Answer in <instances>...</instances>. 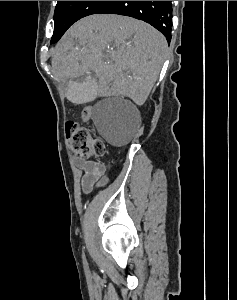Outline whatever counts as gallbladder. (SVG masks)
I'll return each mask as SVG.
<instances>
[{
	"label": "gallbladder",
	"mask_w": 237,
	"mask_h": 300,
	"mask_svg": "<svg viewBox=\"0 0 237 300\" xmlns=\"http://www.w3.org/2000/svg\"><path fill=\"white\" fill-rule=\"evenodd\" d=\"M86 81L79 84H68L65 88L67 100L71 105H89L90 101H96L98 84L92 82L91 76H88Z\"/></svg>",
	"instance_id": "bac80fb5"
}]
</instances>
